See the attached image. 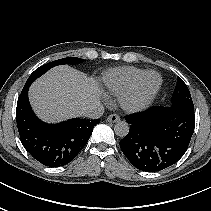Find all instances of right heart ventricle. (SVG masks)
Masks as SVG:
<instances>
[{
	"mask_svg": "<svg viewBox=\"0 0 211 211\" xmlns=\"http://www.w3.org/2000/svg\"><path fill=\"white\" fill-rule=\"evenodd\" d=\"M145 72L135 67L111 69L104 74L103 84L111 94L121 96L128 92Z\"/></svg>",
	"mask_w": 211,
	"mask_h": 211,
	"instance_id": "obj_1",
	"label": "right heart ventricle"
}]
</instances>
